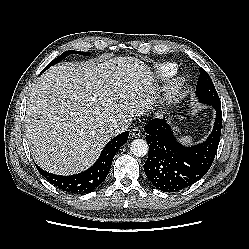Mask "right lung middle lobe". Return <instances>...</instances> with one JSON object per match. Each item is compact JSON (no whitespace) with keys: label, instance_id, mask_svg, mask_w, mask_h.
<instances>
[{"label":"right lung middle lobe","instance_id":"dd1d6c3e","mask_svg":"<svg viewBox=\"0 0 249 249\" xmlns=\"http://www.w3.org/2000/svg\"><path fill=\"white\" fill-rule=\"evenodd\" d=\"M70 54H82V55H86V56H90L91 53L89 52H80V51H74V50H68L63 52L59 57H57L56 59H54L53 61H51L44 70L48 69L49 67H51L54 64L59 63L61 60H63L67 55Z\"/></svg>","mask_w":249,"mask_h":249}]
</instances>
